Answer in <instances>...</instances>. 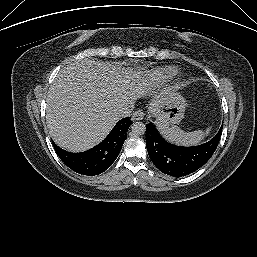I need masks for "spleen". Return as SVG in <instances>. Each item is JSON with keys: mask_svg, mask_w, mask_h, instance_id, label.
I'll return each instance as SVG.
<instances>
[{"mask_svg": "<svg viewBox=\"0 0 257 257\" xmlns=\"http://www.w3.org/2000/svg\"><path fill=\"white\" fill-rule=\"evenodd\" d=\"M158 128L166 140L185 146L198 144L210 131L208 128L205 132L203 130L184 132L178 126L169 127L168 125H158Z\"/></svg>", "mask_w": 257, "mask_h": 257, "instance_id": "spleen-1", "label": "spleen"}]
</instances>
